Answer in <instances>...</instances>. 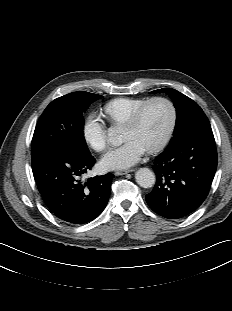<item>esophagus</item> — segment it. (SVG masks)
Instances as JSON below:
<instances>
[{
  "mask_svg": "<svg viewBox=\"0 0 232 311\" xmlns=\"http://www.w3.org/2000/svg\"><path fill=\"white\" fill-rule=\"evenodd\" d=\"M132 170H119V171H115V175L119 176V175H125L127 173H130Z\"/></svg>",
  "mask_w": 232,
  "mask_h": 311,
  "instance_id": "1",
  "label": "esophagus"
}]
</instances>
